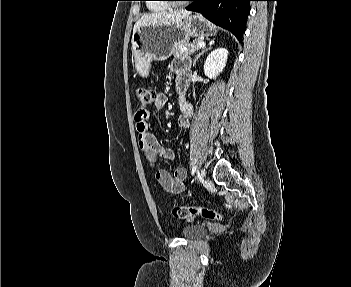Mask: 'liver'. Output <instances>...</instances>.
Wrapping results in <instances>:
<instances>
[{"mask_svg": "<svg viewBox=\"0 0 351 287\" xmlns=\"http://www.w3.org/2000/svg\"><path fill=\"white\" fill-rule=\"evenodd\" d=\"M191 12L186 10H176L169 12H158L143 15L134 25L133 33L141 26L147 25H172L179 23L186 17L190 16Z\"/></svg>", "mask_w": 351, "mask_h": 287, "instance_id": "liver-1", "label": "liver"}]
</instances>
